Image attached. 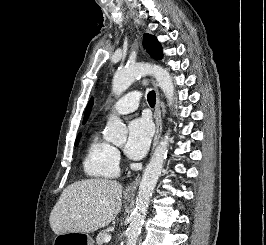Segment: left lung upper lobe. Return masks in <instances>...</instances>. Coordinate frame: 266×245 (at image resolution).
Returning a JSON list of instances; mask_svg holds the SVG:
<instances>
[{
	"label": "left lung upper lobe",
	"mask_w": 266,
	"mask_h": 245,
	"mask_svg": "<svg viewBox=\"0 0 266 245\" xmlns=\"http://www.w3.org/2000/svg\"><path fill=\"white\" fill-rule=\"evenodd\" d=\"M143 46L152 58L162 59V48L156 37L145 34L143 37Z\"/></svg>",
	"instance_id": "left-lung-upper-lobe-1"
}]
</instances>
